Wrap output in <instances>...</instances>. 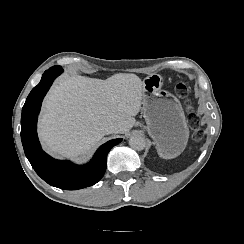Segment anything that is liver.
Masks as SVG:
<instances>
[{
    "mask_svg": "<svg viewBox=\"0 0 244 244\" xmlns=\"http://www.w3.org/2000/svg\"><path fill=\"white\" fill-rule=\"evenodd\" d=\"M144 82L134 74L108 80L64 77L44 103L40 138L54 155L84 154L100 141L104 126L115 123L116 133H127L141 110Z\"/></svg>",
    "mask_w": 244,
    "mask_h": 244,
    "instance_id": "6515ba94",
    "label": "liver"
}]
</instances>
